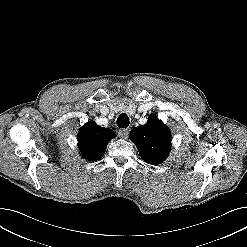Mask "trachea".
<instances>
[{"instance_id":"1","label":"trachea","mask_w":247,"mask_h":247,"mask_svg":"<svg viewBox=\"0 0 247 247\" xmlns=\"http://www.w3.org/2000/svg\"><path fill=\"white\" fill-rule=\"evenodd\" d=\"M129 123V117L126 114H120L116 122L119 128H127Z\"/></svg>"}]
</instances>
